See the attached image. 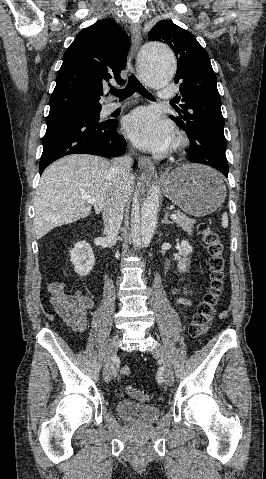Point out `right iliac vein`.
<instances>
[{
    "mask_svg": "<svg viewBox=\"0 0 266 479\" xmlns=\"http://www.w3.org/2000/svg\"><path fill=\"white\" fill-rule=\"evenodd\" d=\"M119 335L116 334L113 336V338L110 340L107 348V355L105 358V364H104V369H103V376L106 382H109L111 379V375L113 373L112 371V361L114 356L117 353L118 346H119Z\"/></svg>",
    "mask_w": 266,
    "mask_h": 479,
    "instance_id": "obj_1",
    "label": "right iliac vein"
}]
</instances>
